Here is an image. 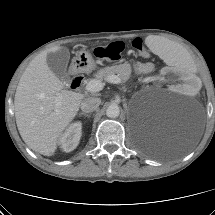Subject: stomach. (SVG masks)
I'll use <instances>...</instances> for the list:
<instances>
[{
    "label": "stomach",
    "mask_w": 215,
    "mask_h": 215,
    "mask_svg": "<svg viewBox=\"0 0 215 215\" xmlns=\"http://www.w3.org/2000/svg\"><path fill=\"white\" fill-rule=\"evenodd\" d=\"M72 67L78 72H90L95 69L96 64L89 52L80 51L73 58Z\"/></svg>",
    "instance_id": "1"
}]
</instances>
